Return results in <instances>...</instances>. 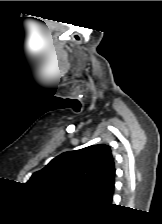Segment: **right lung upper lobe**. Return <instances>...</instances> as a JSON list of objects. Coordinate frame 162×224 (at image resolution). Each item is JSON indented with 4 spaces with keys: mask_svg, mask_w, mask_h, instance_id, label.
I'll list each match as a JSON object with an SVG mask.
<instances>
[{
    "mask_svg": "<svg viewBox=\"0 0 162 224\" xmlns=\"http://www.w3.org/2000/svg\"><path fill=\"white\" fill-rule=\"evenodd\" d=\"M114 183L111 149L104 144L65 152L27 182L39 190L79 196L92 205L111 202Z\"/></svg>",
    "mask_w": 162,
    "mask_h": 224,
    "instance_id": "obj_1",
    "label": "right lung upper lobe"
}]
</instances>
